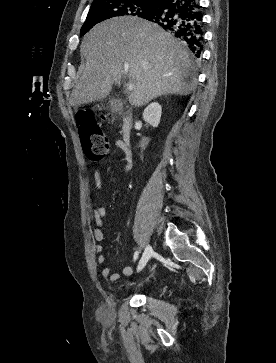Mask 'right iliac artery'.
Segmentation results:
<instances>
[{"mask_svg":"<svg viewBox=\"0 0 276 363\" xmlns=\"http://www.w3.org/2000/svg\"><path fill=\"white\" fill-rule=\"evenodd\" d=\"M139 252L136 251L134 254V259H137ZM144 267V263H142L140 266H138V271L142 270Z\"/></svg>","mask_w":276,"mask_h":363,"instance_id":"obj_1","label":"right iliac artery"}]
</instances>
